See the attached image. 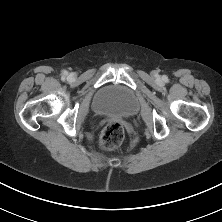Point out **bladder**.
I'll use <instances>...</instances> for the list:
<instances>
[{
  "mask_svg": "<svg viewBox=\"0 0 222 222\" xmlns=\"http://www.w3.org/2000/svg\"><path fill=\"white\" fill-rule=\"evenodd\" d=\"M138 100L129 88L122 85H107L94 96L92 108L101 117H130L138 111Z\"/></svg>",
  "mask_w": 222,
  "mask_h": 222,
  "instance_id": "1",
  "label": "bladder"
}]
</instances>
